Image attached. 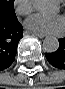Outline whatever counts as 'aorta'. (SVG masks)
<instances>
[{
    "label": "aorta",
    "instance_id": "obj_1",
    "mask_svg": "<svg viewBox=\"0 0 65 89\" xmlns=\"http://www.w3.org/2000/svg\"><path fill=\"white\" fill-rule=\"evenodd\" d=\"M52 2L50 0H34L33 8L39 12H49ZM59 48V41L54 36H47L43 40V49L48 53H53Z\"/></svg>",
    "mask_w": 65,
    "mask_h": 89
}]
</instances>
